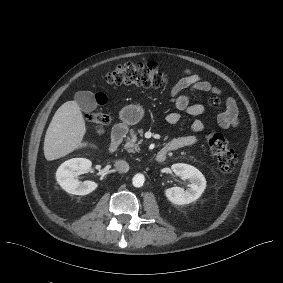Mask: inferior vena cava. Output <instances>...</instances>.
Wrapping results in <instances>:
<instances>
[{
	"mask_svg": "<svg viewBox=\"0 0 283 283\" xmlns=\"http://www.w3.org/2000/svg\"><path fill=\"white\" fill-rule=\"evenodd\" d=\"M116 169L118 170V172L120 173H126L129 170V165L126 161H117L115 164Z\"/></svg>",
	"mask_w": 283,
	"mask_h": 283,
	"instance_id": "inferior-vena-cava-1",
	"label": "inferior vena cava"
}]
</instances>
